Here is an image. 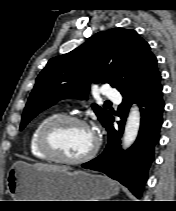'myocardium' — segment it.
<instances>
[{"label":"myocardium","mask_w":176,"mask_h":211,"mask_svg":"<svg viewBox=\"0 0 176 211\" xmlns=\"http://www.w3.org/2000/svg\"><path fill=\"white\" fill-rule=\"evenodd\" d=\"M72 123L81 125L87 128L94 137V143L92 148L85 155L78 158H67L63 156L55 147L52 141V134L54 130L60 125ZM39 147L43 153L49 156L51 159L70 165H77L92 159L100 148V139L94 129L82 118L75 115L59 114L49 119L41 128L39 133Z\"/></svg>","instance_id":"1"}]
</instances>
